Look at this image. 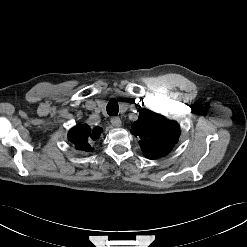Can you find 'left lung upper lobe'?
<instances>
[{
	"label": "left lung upper lobe",
	"instance_id": "1",
	"mask_svg": "<svg viewBox=\"0 0 247 247\" xmlns=\"http://www.w3.org/2000/svg\"><path fill=\"white\" fill-rule=\"evenodd\" d=\"M132 133L140 138L145 157L157 159L167 155L177 143L180 126L161 114L142 109L138 121L132 125Z\"/></svg>",
	"mask_w": 247,
	"mask_h": 247
}]
</instances>
